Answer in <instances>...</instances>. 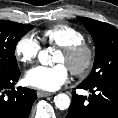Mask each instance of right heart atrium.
<instances>
[{
  "instance_id": "1",
  "label": "right heart atrium",
  "mask_w": 118,
  "mask_h": 118,
  "mask_svg": "<svg viewBox=\"0 0 118 118\" xmlns=\"http://www.w3.org/2000/svg\"><path fill=\"white\" fill-rule=\"evenodd\" d=\"M41 50L39 40L32 33H26L19 38L14 47V55L23 64L34 62Z\"/></svg>"
}]
</instances>
